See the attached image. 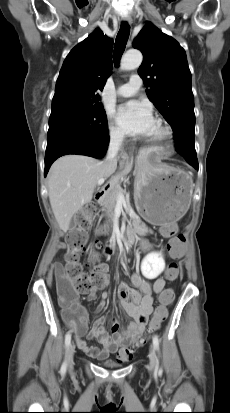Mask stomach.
I'll list each match as a JSON object with an SVG mask.
<instances>
[{
	"label": "stomach",
	"mask_w": 230,
	"mask_h": 413,
	"mask_svg": "<svg viewBox=\"0 0 230 413\" xmlns=\"http://www.w3.org/2000/svg\"><path fill=\"white\" fill-rule=\"evenodd\" d=\"M193 181L187 172L146 159L135 168L134 199L137 211L147 222H175L189 209Z\"/></svg>",
	"instance_id": "stomach-1"
}]
</instances>
